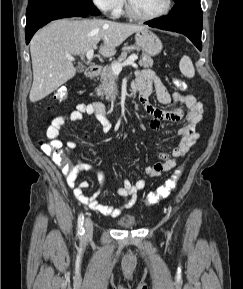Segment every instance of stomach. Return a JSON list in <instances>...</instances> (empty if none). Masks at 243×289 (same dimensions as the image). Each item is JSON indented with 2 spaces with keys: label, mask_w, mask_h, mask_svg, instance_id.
<instances>
[{
  "label": "stomach",
  "mask_w": 243,
  "mask_h": 289,
  "mask_svg": "<svg viewBox=\"0 0 243 289\" xmlns=\"http://www.w3.org/2000/svg\"><path fill=\"white\" fill-rule=\"evenodd\" d=\"M135 40L144 53L150 56L159 54L163 48L159 37L147 28L137 31Z\"/></svg>",
  "instance_id": "stomach-1"
}]
</instances>
